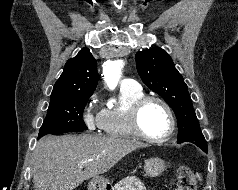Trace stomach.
<instances>
[{"label":"stomach","mask_w":238,"mask_h":190,"mask_svg":"<svg viewBox=\"0 0 238 190\" xmlns=\"http://www.w3.org/2000/svg\"><path fill=\"white\" fill-rule=\"evenodd\" d=\"M165 169V162L158 158L153 157L145 160L144 171L149 177H158ZM108 180L104 177H97L91 180L89 187L91 190H106Z\"/></svg>","instance_id":"obj_1"}]
</instances>
